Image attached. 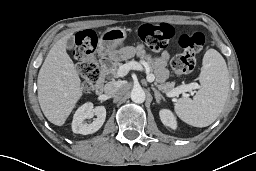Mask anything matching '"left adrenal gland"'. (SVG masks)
I'll list each match as a JSON object with an SVG mask.
<instances>
[{"label": "left adrenal gland", "instance_id": "a2214340", "mask_svg": "<svg viewBox=\"0 0 256 171\" xmlns=\"http://www.w3.org/2000/svg\"><path fill=\"white\" fill-rule=\"evenodd\" d=\"M151 86H152V90L155 93V99H156L157 103H160L161 99L165 100L163 95L153 85H151Z\"/></svg>", "mask_w": 256, "mask_h": 171}]
</instances>
